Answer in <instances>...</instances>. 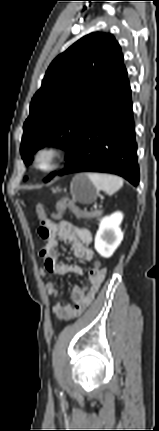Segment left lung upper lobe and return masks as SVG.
Listing matches in <instances>:
<instances>
[{"mask_svg":"<svg viewBox=\"0 0 159 431\" xmlns=\"http://www.w3.org/2000/svg\"><path fill=\"white\" fill-rule=\"evenodd\" d=\"M126 78L121 48L111 34H88L58 55L32 98L23 126L21 156L25 164L46 145L66 150L68 158L83 126Z\"/></svg>","mask_w":159,"mask_h":431,"instance_id":"1","label":"left lung upper lobe"}]
</instances>
